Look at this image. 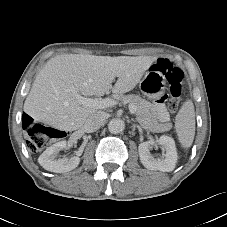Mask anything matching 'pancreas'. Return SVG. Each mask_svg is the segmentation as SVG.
<instances>
[{
    "label": "pancreas",
    "instance_id": "1",
    "mask_svg": "<svg viewBox=\"0 0 227 227\" xmlns=\"http://www.w3.org/2000/svg\"><path fill=\"white\" fill-rule=\"evenodd\" d=\"M120 100L124 104L136 107V121L146 130L151 132H165L172 128L171 123H159L149 113V102L136 95H121Z\"/></svg>",
    "mask_w": 227,
    "mask_h": 227
}]
</instances>
